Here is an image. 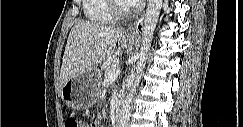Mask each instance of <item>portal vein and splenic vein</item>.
<instances>
[{"mask_svg": "<svg viewBox=\"0 0 243 127\" xmlns=\"http://www.w3.org/2000/svg\"><path fill=\"white\" fill-rule=\"evenodd\" d=\"M121 73L120 69H114L110 71L109 75L104 79L103 84H108L109 82L114 81Z\"/></svg>", "mask_w": 243, "mask_h": 127, "instance_id": "portal-vein-and-splenic-vein-1", "label": "portal vein and splenic vein"}]
</instances>
